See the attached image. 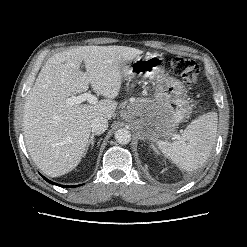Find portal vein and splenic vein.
I'll return each mask as SVG.
<instances>
[{
  "label": "portal vein and splenic vein",
  "mask_w": 247,
  "mask_h": 247,
  "mask_svg": "<svg viewBox=\"0 0 247 247\" xmlns=\"http://www.w3.org/2000/svg\"><path fill=\"white\" fill-rule=\"evenodd\" d=\"M84 101H88L90 104H96L98 102V99L95 95H92L90 93H83L79 96L69 97L66 99V103L68 105L80 104Z\"/></svg>",
  "instance_id": "portal-vein-and-splenic-vein-1"
}]
</instances>
